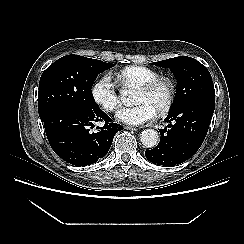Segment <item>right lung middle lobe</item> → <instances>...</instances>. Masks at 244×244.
I'll list each match as a JSON object with an SVG mask.
<instances>
[{
  "instance_id": "obj_1",
  "label": "right lung middle lobe",
  "mask_w": 244,
  "mask_h": 244,
  "mask_svg": "<svg viewBox=\"0 0 244 244\" xmlns=\"http://www.w3.org/2000/svg\"><path fill=\"white\" fill-rule=\"evenodd\" d=\"M113 66L115 64L79 55H67L55 61L40 78L39 116L60 106L98 108L91 87L98 74Z\"/></svg>"
}]
</instances>
